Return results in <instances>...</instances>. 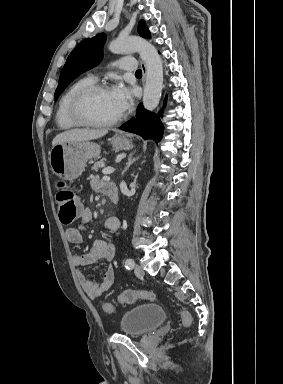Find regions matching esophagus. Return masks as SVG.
<instances>
[{
	"mask_svg": "<svg viewBox=\"0 0 283 384\" xmlns=\"http://www.w3.org/2000/svg\"><path fill=\"white\" fill-rule=\"evenodd\" d=\"M140 66L142 68V83L143 85L145 84V80H146V65L143 61L140 62Z\"/></svg>",
	"mask_w": 283,
	"mask_h": 384,
	"instance_id": "esophagus-1",
	"label": "esophagus"
}]
</instances>
